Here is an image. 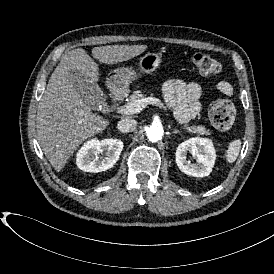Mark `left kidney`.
I'll list each match as a JSON object with an SVG mask.
<instances>
[{
    "instance_id": "left-kidney-1",
    "label": "left kidney",
    "mask_w": 274,
    "mask_h": 274,
    "mask_svg": "<svg viewBox=\"0 0 274 274\" xmlns=\"http://www.w3.org/2000/svg\"><path fill=\"white\" fill-rule=\"evenodd\" d=\"M187 152L196 158V163H190L186 159ZM175 156L176 164L183 173L193 177H205L212 172L216 152L212 140L194 137L179 144Z\"/></svg>"
}]
</instances>
